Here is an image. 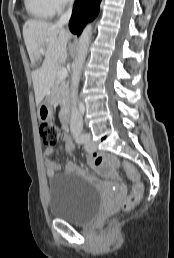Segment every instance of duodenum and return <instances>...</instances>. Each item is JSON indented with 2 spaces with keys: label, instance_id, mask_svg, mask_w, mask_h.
I'll return each instance as SVG.
<instances>
[{
  "label": "duodenum",
  "instance_id": "1",
  "mask_svg": "<svg viewBox=\"0 0 174 258\" xmlns=\"http://www.w3.org/2000/svg\"><path fill=\"white\" fill-rule=\"evenodd\" d=\"M61 120L65 126L69 125L70 123V106L67 101H65L62 105Z\"/></svg>",
  "mask_w": 174,
  "mask_h": 258
}]
</instances>
